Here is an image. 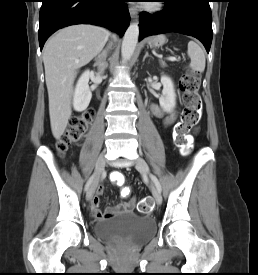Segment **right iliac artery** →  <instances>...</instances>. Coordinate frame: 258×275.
I'll use <instances>...</instances> for the list:
<instances>
[{"mask_svg":"<svg viewBox=\"0 0 258 275\" xmlns=\"http://www.w3.org/2000/svg\"><path fill=\"white\" fill-rule=\"evenodd\" d=\"M93 177H94V176L90 177V179L88 180V182H87V184H86V186H85V189H86V190L89 188V186H90V184H91V182H92V180H93Z\"/></svg>","mask_w":258,"mask_h":275,"instance_id":"right-iliac-artery-1","label":"right iliac artery"}]
</instances>
